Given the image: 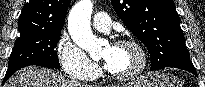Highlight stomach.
<instances>
[{
	"label": "stomach",
	"instance_id": "obj_1",
	"mask_svg": "<svg viewBox=\"0 0 205 87\" xmlns=\"http://www.w3.org/2000/svg\"><path fill=\"white\" fill-rule=\"evenodd\" d=\"M125 87H180L178 79L164 72H152L140 76Z\"/></svg>",
	"mask_w": 205,
	"mask_h": 87
}]
</instances>
